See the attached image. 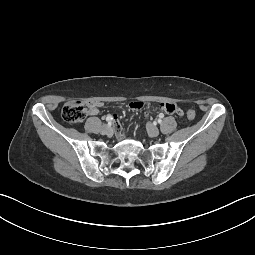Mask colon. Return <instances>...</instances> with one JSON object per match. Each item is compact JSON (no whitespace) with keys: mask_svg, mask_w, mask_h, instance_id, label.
Masks as SVG:
<instances>
[{"mask_svg":"<svg viewBox=\"0 0 255 255\" xmlns=\"http://www.w3.org/2000/svg\"><path fill=\"white\" fill-rule=\"evenodd\" d=\"M89 112V106L81 100H71L64 104L62 108V117L69 123H79L85 119ZM195 111L189 109L187 111V118L193 120L195 118Z\"/></svg>","mask_w":255,"mask_h":255,"instance_id":"1","label":"colon"}]
</instances>
